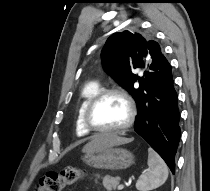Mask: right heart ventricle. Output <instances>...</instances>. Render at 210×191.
Segmentation results:
<instances>
[{
  "label": "right heart ventricle",
  "mask_w": 210,
  "mask_h": 191,
  "mask_svg": "<svg viewBox=\"0 0 210 191\" xmlns=\"http://www.w3.org/2000/svg\"><path fill=\"white\" fill-rule=\"evenodd\" d=\"M100 91V86L96 82H89L81 90L80 94V103L77 110L76 117V132L78 135H88L91 131H89L83 122V114L85 108L92 97Z\"/></svg>",
  "instance_id": "1"
}]
</instances>
